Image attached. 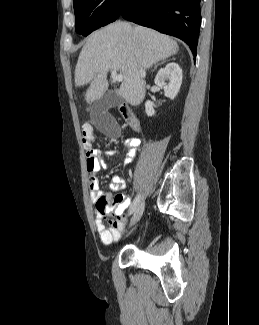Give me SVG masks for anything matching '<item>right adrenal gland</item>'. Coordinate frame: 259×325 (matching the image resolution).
I'll list each match as a JSON object with an SVG mask.
<instances>
[{
	"instance_id": "2a0ac1e0",
	"label": "right adrenal gland",
	"mask_w": 259,
	"mask_h": 325,
	"mask_svg": "<svg viewBox=\"0 0 259 325\" xmlns=\"http://www.w3.org/2000/svg\"><path fill=\"white\" fill-rule=\"evenodd\" d=\"M164 62H165V61H162V62H160V63H158V64H155V65H154V69H153L152 71H154V70L157 68V66L163 64Z\"/></svg>"
}]
</instances>
